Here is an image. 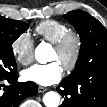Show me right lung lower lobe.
<instances>
[{"instance_id": "right-lung-lower-lobe-1", "label": "right lung lower lobe", "mask_w": 107, "mask_h": 107, "mask_svg": "<svg viewBox=\"0 0 107 107\" xmlns=\"http://www.w3.org/2000/svg\"><path fill=\"white\" fill-rule=\"evenodd\" d=\"M17 79L18 73L16 72L7 79L0 80V107H18L23 99L37 93L38 86L36 83L31 81L20 83L17 82ZM4 82L11 85L5 86Z\"/></svg>"}]
</instances>
